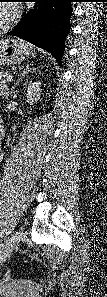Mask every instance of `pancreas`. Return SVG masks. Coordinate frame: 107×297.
I'll return each instance as SVG.
<instances>
[{
  "label": "pancreas",
  "instance_id": "pancreas-1",
  "mask_svg": "<svg viewBox=\"0 0 107 297\" xmlns=\"http://www.w3.org/2000/svg\"><path fill=\"white\" fill-rule=\"evenodd\" d=\"M11 74L9 72H0V87L1 89L7 88V83H9L8 77Z\"/></svg>",
  "mask_w": 107,
  "mask_h": 297
}]
</instances>
